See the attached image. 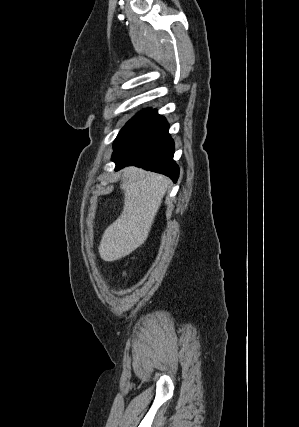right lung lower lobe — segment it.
Instances as JSON below:
<instances>
[{
  "label": "right lung lower lobe",
  "mask_w": 299,
  "mask_h": 427,
  "mask_svg": "<svg viewBox=\"0 0 299 427\" xmlns=\"http://www.w3.org/2000/svg\"><path fill=\"white\" fill-rule=\"evenodd\" d=\"M169 124L156 110L150 111L133 131L115 147L112 161L116 170L135 165L169 176L174 182L179 168L173 161L174 142L168 133Z\"/></svg>",
  "instance_id": "98d812e1"
}]
</instances>
